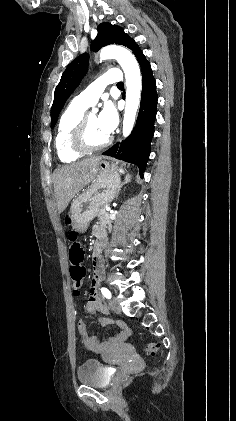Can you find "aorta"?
I'll list each match as a JSON object with an SVG mask.
<instances>
[{"label": "aorta", "instance_id": "1", "mask_svg": "<svg viewBox=\"0 0 236 421\" xmlns=\"http://www.w3.org/2000/svg\"><path fill=\"white\" fill-rule=\"evenodd\" d=\"M106 58H116L125 72L126 102L123 118V136H128L134 126L136 112L140 104L142 88L140 68L134 54H131L123 46L109 44V46L101 48L100 60H106Z\"/></svg>", "mask_w": 236, "mask_h": 421}]
</instances>
